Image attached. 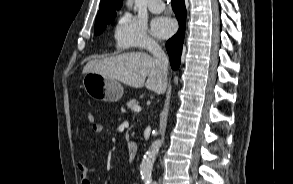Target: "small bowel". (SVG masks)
Segmentation results:
<instances>
[{
	"mask_svg": "<svg viewBox=\"0 0 293 184\" xmlns=\"http://www.w3.org/2000/svg\"><path fill=\"white\" fill-rule=\"evenodd\" d=\"M104 131V126L100 123H93L92 132L94 135H100ZM79 178L81 184H94L90 178V174L94 171V167L89 166L84 162L78 163Z\"/></svg>",
	"mask_w": 293,
	"mask_h": 184,
	"instance_id": "small-bowel-1",
	"label": "small bowel"
}]
</instances>
